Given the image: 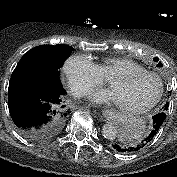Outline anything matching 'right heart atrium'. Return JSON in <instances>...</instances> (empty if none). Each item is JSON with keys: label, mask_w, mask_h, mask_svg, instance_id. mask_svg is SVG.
<instances>
[{"label": "right heart atrium", "mask_w": 177, "mask_h": 177, "mask_svg": "<svg viewBox=\"0 0 177 177\" xmlns=\"http://www.w3.org/2000/svg\"><path fill=\"white\" fill-rule=\"evenodd\" d=\"M63 69L68 85L76 96H84L103 83L96 63L84 54L69 57Z\"/></svg>", "instance_id": "right-heart-atrium-1"}]
</instances>
